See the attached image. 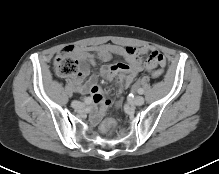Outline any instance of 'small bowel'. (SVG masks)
Returning a JSON list of instances; mask_svg holds the SVG:
<instances>
[{"mask_svg": "<svg viewBox=\"0 0 219 174\" xmlns=\"http://www.w3.org/2000/svg\"><path fill=\"white\" fill-rule=\"evenodd\" d=\"M71 53L78 57L81 66L79 72L70 80L78 92L90 94L92 101L96 104L91 115L92 121L95 123L105 114L107 107L111 108L115 104L113 98H104L103 91L97 84V77L95 75L88 77L89 66L95 65V58L108 61L113 54H116L126 60V62L104 65L100 69V74L105 79L118 80L116 87L120 91L129 87L143 69L151 72L157 65L165 66L164 55L160 51L149 47L137 48L134 46L123 47L115 44H104L89 48H74ZM144 54H147L146 65L142 64V56Z\"/></svg>", "mask_w": 219, "mask_h": 174, "instance_id": "c3829d8e", "label": "small bowel"}]
</instances>
